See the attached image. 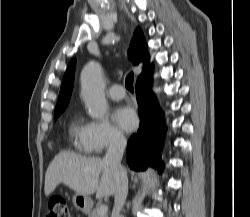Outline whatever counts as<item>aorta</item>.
<instances>
[{
    "mask_svg": "<svg viewBox=\"0 0 250 217\" xmlns=\"http://www.w3.org/2000/svg\"><path fill=\"white\" fill-rule=\"evenodd\" d=\"M82 98L88 109V114L95 119L104 117L107 111L105 99V84L102 77V69L99 63H88L81 72Z\"/></svg>",
    "mask_w": 250,
    "mask_h": 217,
    "instance_id": "762f6f07",
    "label": "aorta"
}]
</instances>
